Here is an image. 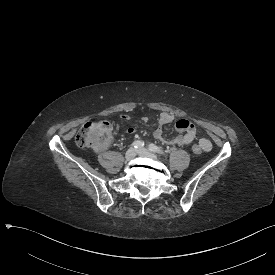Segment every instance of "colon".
<instances>
[{"instance_id":"1","label":"colon","mask_w":275,"mask_h":275,"mask_svg":"<svg viewBox=\"0 0 275 275\" xmlns=\"http://www.w3.org/2000/svg\"><path fill=\"white\" fill-rule=\"evenodd\" d=\"M114 136L111 123L107 121H89L83 124L76 134V143L80 148H91L99 152H105L109 142ZM195 153H202L205 147L196 144L193 147Z\"/></svg>"}]
</instances>
